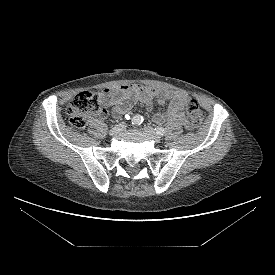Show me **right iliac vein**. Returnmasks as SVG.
Returning a JSON list of instances; mask_svg holds the SVG:
<instances>
[{
    "label": "right iliac vein",
    "instance_id": "obj_1",
    "mask_svg": "<svg viewBox=\"0 0 275 275\" xmlns=\"http://www.w3.org/2000/svg\"><path fill=\"white\" fill-rule=\"evenodd\" d=\"M125 127H126L125 123H123V122L119 123L110 130L109 134L111 136L117 135L120 132H122L125 129Z\"/></svg>",
    "mask_w": 275,
    "mask_h": 275
}]
</instances>
